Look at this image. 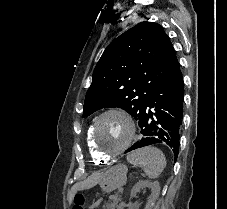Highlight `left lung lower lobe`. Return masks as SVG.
I'll return each instance as SVG.
<instances>
[{
  "mask_svg": "<svg viewBox=\"0 0 227 209\" xmlns=\"http://www.w3.org/2000/svg\"><path fill=\"white\" fill-rule=\"evenodd\" d=\"M183 92V78L178 62L153 97L145 104L138 118L143 137L126 152L163 143L172 149L176 160L180 144L179 129L183 119Z\"/></svg>",
  "mask_w": 227,
  "mask_h": 209,
  "instance_id": "1",
  "label": "left lung lower lobe"
}]
</instances>
